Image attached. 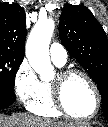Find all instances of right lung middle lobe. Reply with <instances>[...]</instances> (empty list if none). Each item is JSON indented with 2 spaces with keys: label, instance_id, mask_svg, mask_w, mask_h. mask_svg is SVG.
<instances>
[{
  "label": "right lung middle lobe",
  "instance_id": "right-lung-middle-lobe-1",
  "mask_svg": "<svg viewBox=\"0 0 108 127\" xmlns=\"http://www.w3.org/2000/svg\"><path fill=\"white\" fill-rule=\"evenodd\" d=\"M23 57L0 53V89L14 93L15 76Z\"/></svg>",
  "mask_w": 108,
  "mask_h": 127
}]
</instances>
